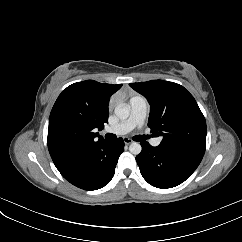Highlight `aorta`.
Here are the masks:
<instances>
[{
  "label": "aorta",
  "mask_w": 242,
  "mask_h": 242,
  "mask_svg": "<svg viewBox=\"0 0 242 242\" xmlns=\"http://www.w3.org/2000/svg\"><path fill=\"white\" fill-rule=\"evenodd\" d=\"M114 112H115V115L121 120L127 119L130 115L129 108L124 105H118L115 108ZM141 150H142V147L138 142H133L129 146V151L134 155H138L141 152Z\"/></svg>",
  "instance_id": "1"
}]
</instances>
